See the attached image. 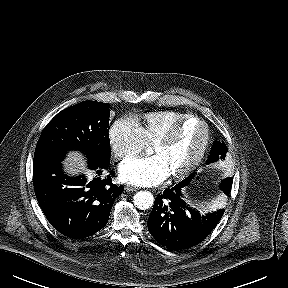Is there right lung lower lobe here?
<instances>
[{
  "instance_id": "obj_1",
  "label": "right lung lower lobe",
  "mask_w": 288,
  "mask_h": 288,
  "mask_svg": "<svg viewBox=\"0 0 288 288\" xmlns=\"http://www.w3.org/2000/svg\"><path fill=\"white\" fill-rule=\"evenodd\" d=\"M109 164L89 166L97 169V176L86 182L83 176L64 175L60 161L34 163L33 184L38 203L50 224L61 234L82 239L105 227L116 197L124 190L123 186L111 182L110 175L100 177Z\"/></svg>"
}]
</instances>
